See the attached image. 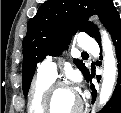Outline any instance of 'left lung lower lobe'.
I'll return each instance as SVG.
<instances>
[{
    "label": "left lung lower lobe",
    "instance_id": "left-lung-lower-lobe-1",
    "mask_svg": "<svg viewBox=\"0 0 121 113\" xmlns=\"http://www.w3.org/2000/svg\"><path fill=\"white\" fill-rule=\"evenodd\" d=\"M110 34L112 36L113 43L116 49V56L118 60V78L117 85L115 87L114 93L109 100V102L104 106L102 111L99 113H121V19L120 16L116 19L113 26L110 29ZM101 45L100 42H98ZM93 76L91 75V78ZM90 80V76L87 81ZM99 80V78H98ZM92 90V100L95 101L96 90L93 85H91Z\"/></svg>",
    "mask_w": 121,
    "mask_h": 113
}]
</instances>
